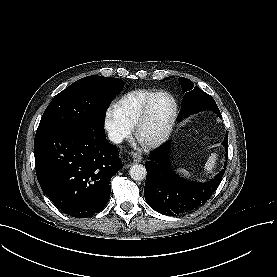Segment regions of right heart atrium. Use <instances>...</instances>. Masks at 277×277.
I'll list each match as a JSON object with an SVG mask.
<instances>
[{
  "label": "right heart atrium",
  "instance_id": "1",
  "mask_svg": "<svg viewBox=\"0 0 277 277\" xmlns=\"http://www.w3.org/2000/svg\"><path fill=\"white\" fill-rule=\"evenodd\" d=\"M104 126L114 141H121L131 132L130 124L119 114L115 106H110L106 109Z\"/></svg>",
  "mask_w": 277,
  "mask_h": 277
}]
</instances>
